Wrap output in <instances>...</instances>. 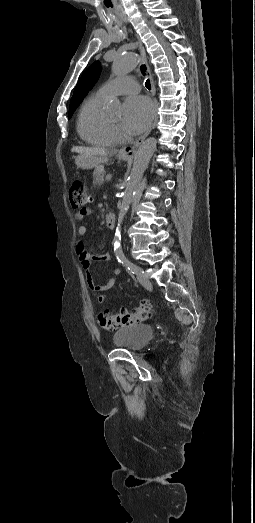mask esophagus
<instances>
[{
    "label": "esophagus",
    "instance_id": "34e87169",
    "mask_svg": "<svg viewBox=\"0 0 255 523\" xmlns=\"http://www.w3.org/2000/svg\"><path fill=\"white\" fill-rule=\"evenodd\" d=\"M138 48H139V52H140V55H141L140 69L142 71H145L148 74L149 79H150V83H151V92H152L153 97H155L156 89H155L154 81H153V78H152V75H151L150 67H149V64H148V60H147V56H146V50H145V48H144L142 43L139 45ZM155 117H156V109L154 108L153 109V118L155 119ZM152 127H153V123L147 128V130L143 133V135H141L136 140V142L133 145L121 148L120 153L122 155H124L125 157H127V158L134 157V155L136 154L138 146L149 135V133L152 130Z\"/></svg>",
    "mask_w": 255,
    "mask_h": 523
}]
</instances>
